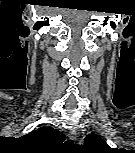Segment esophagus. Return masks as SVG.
Here are the masks:
<instances>
[{
    "label": "esophagus",
    "instance_id": "34e87169",
    "mask_svg": "<svg viewBox=\"0 0 135 153\" xmlns=\"http://www.w3.org/2000/svg\"><path fill=\"white\" fill-rule=\"evenodd\" d=\"M68 137H69V139H71L73 141L76 140V138H77V132H76V129L75 128H71L69 130Z\"/></svg>",
    "mask_w": 135,
    "mask_h": 153
}]
</instances>
